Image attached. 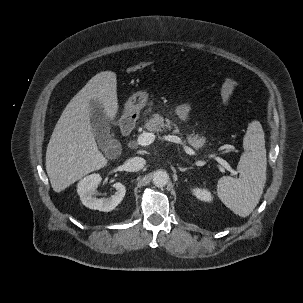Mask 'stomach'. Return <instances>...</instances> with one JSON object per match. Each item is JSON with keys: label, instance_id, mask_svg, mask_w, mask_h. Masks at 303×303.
Listing matches in <instances>:
<instances>
[{"label": "stomach", "instance_id": "stomach-1", "mask_svg": "<svg viewBox=\"0 0 303 303\" xmlns=\"http://www.w3.org/2000/svg\"><path fill=\"white\" fill-rule=\"evenodd\" d=\"M148 102V93L145 90L138 91L134 93L126 103V112L129 115H137L140 110L144 108V106Z\"/></svg>", "mask_w": 303, "mask_h": 303}]
</instances>
